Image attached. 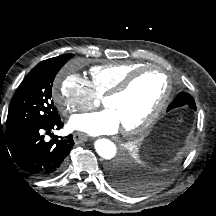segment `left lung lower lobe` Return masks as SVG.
I'll list each match as a JSON object with an SVG mask.
<instances>
[{
	"mask_svg": "<svg viewBox=\"0 0 216 216\" xmlns=\"http://www.w3.org/2000/svg\"><path fill=\"white\" fill-rule=\"evenodd\" d=\"M185 92L179 93L176 98L172 101V103L168 106V111L184 106V103L188 99ZM110 182L115 186L118 190L129 193L134 188L133 180L131 176L127 175L125 170L117 165H112L108 170ZM130 194V193H129Z\"/></svg>",
	"mask_w": 216,
	"mask_h": 216,
	"instance_id": "0a47b994",
	"label": "left lung lower lobe"
}]
</instances>
